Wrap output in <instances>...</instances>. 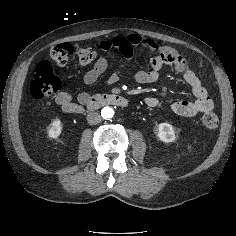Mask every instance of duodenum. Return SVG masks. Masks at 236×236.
Here are the masks:
<instances>
[{"label":"duodenum","instance_id":"duodenum-1","mask_svg":"<svg viewBox=\"0 0 236 236\" xmlns=\"http://www.w3.org/2000/svg\"><path fill=\"white\" fill-rule=\"evenodd\" d=\"M84 105L90 110H95L107 105L126 107L128 106V100L118 94H96L88 96Z\"/></svg>","mask_w":236,"mask_h":236}]
</instances>
